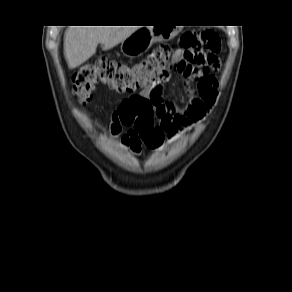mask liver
Masks as SVG:
<instances>
[{"label": "liver", "instance_id": "6515ba94", "mask_svg": "<svg viewBox=\"0 0 292 292\" xmlns=\"http://www.w3.org/2000/svg\"><path fill=\"white\" fill-rule=\"evenodd\" d=\"M138 28L136 26H70L64 37V51L68 66L74 69L96 52L99 43L111 49L123 42Z\"/></svg>", "mask_w": 292, "mask_h": 292}]
</instances>
